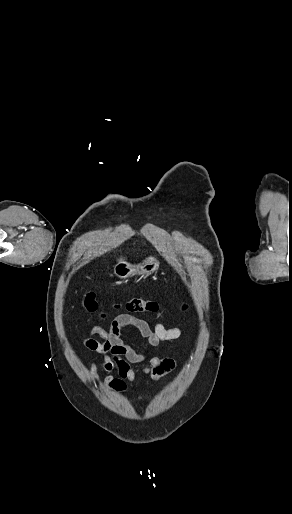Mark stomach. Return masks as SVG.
Here are the masks:
<instances>
[{
    "label": "stomach",
    "instance_id": "obj_1",
    "mask_svg": "<svg viewBox=\"0 0 292 514\" xmlns=\"http://www.w3.org/2000/svg\"><path fill=\"white\" fill-rule=\"evenodd\" d=\"M159 262L156 258H146L142 264L132 266L128 262H118L114 266V274L118 278H130V276H151L155 270H158Z\"/></svg>",
    "mask_w": 292,
    "mask_h": 514
}]
</instances>
